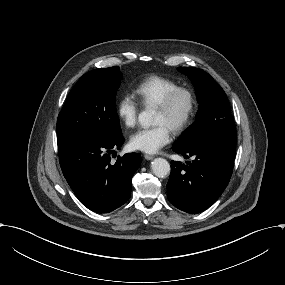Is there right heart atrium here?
I'll list each match as a JSON object with an SVG mask.
<instances>
[{"mask_svg": "<svg viewBox=\"0 0 285 285\" xmlns=\"http://www.w3.org/2000/svg\"><path fill=\"white\" fill-rule=\"evenodd\" d=\"M141 110V104L133 92L125 93L119 101L118 113L126 126L134 127Z\"/></svg>", "mask_w": 285, "mask_h": 285, "instance_id": "d8ad5b80", "label": "right heart atrium"}]
</instances>
